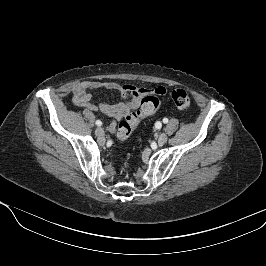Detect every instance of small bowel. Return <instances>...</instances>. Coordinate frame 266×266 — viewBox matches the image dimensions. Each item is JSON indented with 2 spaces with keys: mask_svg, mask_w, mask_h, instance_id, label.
Instances as JSON below:
<instances>
[{
  "mask_svg": "<svg viewBox=\"0 0 266 266\" xmlns=\"http://www.w3.org/2000/svg\"><path fill=\"white\" fill-rule=\"evenodd\" d=\"M107 89L119 91L123 100L115 105L106 103L94 104L91 101V90ZM73 103L87 111L100 112L112 118L113 121L108 125V130H116V121L121 120L131 111L137 109L141 104V99L147 94L163 95L166 90L164 87L152 89L137 88L132 85L120 84L115 81H92L86 80L76 84L73 89Z\"/></svg>",
  "mask_w": 266,
  "mask_h": 266,
  "instance_id": "1",
  "label": "small bowel"
}]
</instances>
